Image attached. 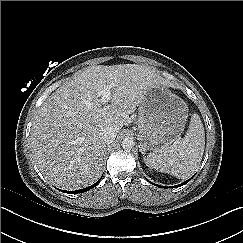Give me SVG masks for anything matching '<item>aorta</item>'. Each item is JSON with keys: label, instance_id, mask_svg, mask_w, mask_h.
Here are the masks:
<instances>
[{"label": "aorta", "instance_id": "762f6f07", "mask_svg": "<svg viewBox=\"0 0 243 243\" xmlns=\"http://www.w3.org/2000/svg\"><path fill=\"white\" fill-rule=\"evenodd\" d=\"M121 145L123 149L131 150L134 146V140L131 137H125Z\"/></svg>", "mask_w": 243, "mask_h": 243}]
</instances>
